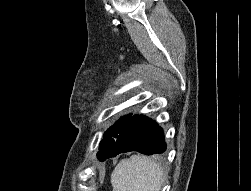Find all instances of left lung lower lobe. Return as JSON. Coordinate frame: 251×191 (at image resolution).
Instances as JSON below:
<instances>
[{"label":"left lung lower lobe","mask_w":251,"mask_h":191,"mask_svg":"<svg viewBox=\"0 0 251 191\" xmlns=\"http://www.w3.org/2000/svg\"><path fill=\"white\" fill-rule=\"evenodd\" d=\"M130 151H137L146 155L164 153L166 143L162 128L146 116L131 115L123 130L119 133L108 158Z\"/></svg>","instance_id":"1"}]
</instances>
